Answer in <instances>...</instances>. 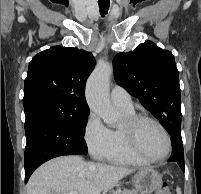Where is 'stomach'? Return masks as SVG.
Listing matches in <instances>:
<instances>
[{
    "instance_id": "1",
    "label": "stomach",
    "mask_w": 201,
    "mask_h": 194,
    "mask_svg": "<svg viewBox=\"0 0 201 194\" xmlns=\"http://www.w3.org/2000/svg\"><path fill=\"white\" fill-rule=\"evenodd\" d=\"M161 181V175L151 167L138 169L132 177L134 188L140 194H151L160 186Z\"/></svg>"
}]
</instances>
